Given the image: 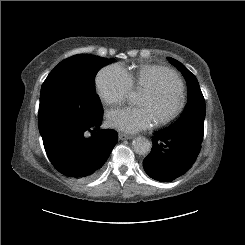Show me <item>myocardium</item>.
<instances>
[{
	"instance_id": "myocardium-1",
	"label": "myocardium",
	"mask_w": 245,
	"mask_h": 245,
	"mask_svg": "<svg viewBox=\"0 0 245 245\" xmlns=\"http://www.w3.org/2000/svg\"><path fill=\"white\" fill-rule=\"evenodd\" d=\"M162 75L169 76L172 79L175 88L176 103L170 111H168L163 115H159L155 118L157 124L159 125H165L173 121L180 114L185 103V97H184L183 89L181 88V81L178 75L174 71L169 69L165 70L162 73ZM166 90H167V85L164 84L163 82H159L154 86L148 87L147 89L144 90V92L149 93L155 98H160L165 93Z\"/></svg>"
}]
</instances>
